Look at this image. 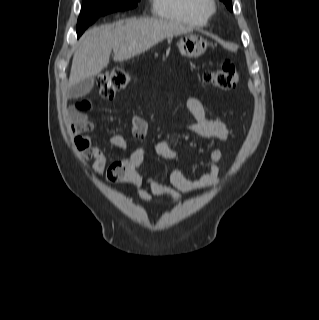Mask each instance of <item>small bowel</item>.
<instances>
[{
    "label": "small bowel",
    "instance_id": "c3829d8e",
    "mask_svg": "<svg viewBox=\"0 0 319 320\" xmlns=\"http://www.w3.org/2000/svg\"><path fill=\"white\" fill-rule=\"evenodd\" d=\"M185 106L197 123L188 128L193 135L206 139H217L227 141L231 130L227 124L221 121L213 120L207 116L203 103L195 98L189 97L185 100ZM90 103L86 100L81 101L76 110L70 113L69 133L72 143L83 159H92L93 173L96 177L102 176L107 171L110 181L109 158L105 150L99 146L93 145L89 132L94 128L89 120L87 109ZM131 133L135 138H141L148 133L146 121L138 115L132 117ZM108 143L111 147L126 150L128 147L127 139L120 135L110 136ZM155 150L162 159L175 163L177 154L171 143L167 140H161L156 143ZM223 152L214 149L209 153V169L203 175L196 178H189L182 174L177 165L170 173L171 186L160 183L152 175H147L143 179L138 173L137 168L143 165L145 153L137 150L122 160L116 161L121 164V168L112 173L111 176H117V181L131 187L134 195L144 203L152 201L156 197H168L173 203L180 201L184 194L192 193L197 190L215 187L221 183V176L218 164L223 160ZM115 163V162H114ZM109 167V168H108ZM143 182L148 189L141 188Z\"/></svg>",
    "mask_w": 319,
    "mask_h": 320
}]
</instances>
